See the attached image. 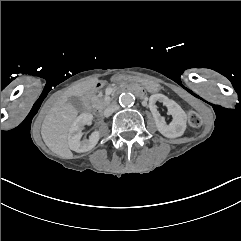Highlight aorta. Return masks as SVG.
I'll return each mask as SVG.
<instances>
[{"label":"aorta","instance_id":"762f6f07","mask_svg":"<svg viewBox=\"0 0 241 241\" xmlns=\"http://www.w3.org/2000/svg\"><path fill=\"white\" fill-rule=\"evenodd\" d=\"M135 97L131 93H122L119 97V103L121 106H132L134 104Z\"/></svg>","mask_w":241,"mask_h":241}]
</instances>
